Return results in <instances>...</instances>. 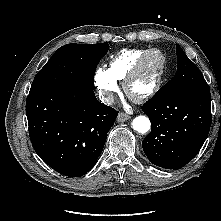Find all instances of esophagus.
Instances as JSON below:
<instances>
[{
    "instance_id": "esophagus-1",
    "label": "esophagus",
    "mask_w": 221,
    "mask_h": 221,
    "mask_svg": "<svg viewBox=\"0 0 221 221\" xmlns=\"http://www.w3.org/2000/svg\"><path fill=\"white\" fill-rule=\"evenodd\" d=\"M128 119H130V116L125 114V113H119L118 116H117V121L118 122H125Z\"/></svg>"
}]
</instances>
